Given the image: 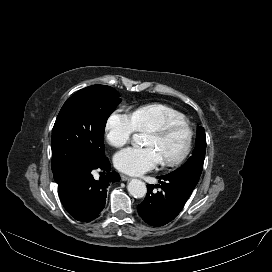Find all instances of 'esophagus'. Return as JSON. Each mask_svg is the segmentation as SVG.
I'll list each match as a JSON object with an SVG mask.
<instances>
[{
  "label": "esophagus",
  "mask_w": 272,
  "mask_h": 272,
  "mask_svg": "<svg viewBox=\"0 0 272 272\" xmlns=\"http://www.w3.org/2000/svg\"><path fill=\"white\" fill-rule=\"evenodd\" d=\"M131 178L129 177V176H126V175H123V174H121V180L122 181H128V180H130Z\"/></svg>",
  "instance_id": "1"
}]
</instances>
